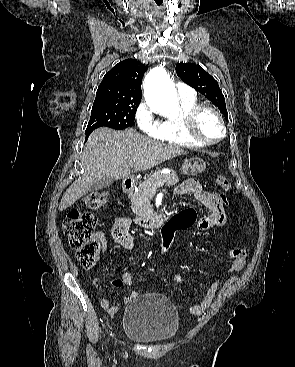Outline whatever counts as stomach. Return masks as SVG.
Here are the masks:
<instances>
[{
  "mask_svg": "<svg viewBox=\"0 0 295 367\" xmlns=\"http://www.w3.org/2000/svg\"><path fill=\"white\" fill-rule=\"evenodd\" d=\"M206 169V163L200 158L186 159L182 165L181 172L185 175L195 176Z\"/></svg>",
  "mask_w": 295,
  "mask_h": 367,
  "instance_id": "stomach-1",
  "label": "stomach"
}]
</instances>
